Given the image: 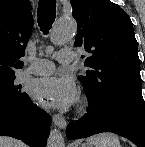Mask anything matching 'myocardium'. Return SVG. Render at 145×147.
Returning a JSON list of instances; mask_svg holds the SVG:
<instances>
[{"label":"myocardium","mask_w":145,"mask_h":147,"mask_svg":"<svg viewBox=\"0 0 145 147\" xmlns=\"http://www.w3.org/2000/svg\"><path fill=\"white\" fill-rule=\"evenodd\" d=\"M86 111V106L84 104L80 105L79 107V113L80 114H84Z\"/></svg>","instance_id":"myocardium-1"}]
</instances>
